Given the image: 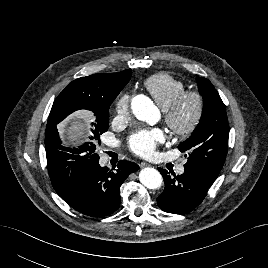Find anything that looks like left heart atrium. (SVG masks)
Wrapping results in <instances>:
<instances>
[{
    "instance_id": "39dd6f15",
    "label": "left heart atrium",
    "mask_w": 268,
    "mask_h": 268,
    "mask_svg": "<svg viewBox=\"0 0 268 268\" xmlns=\"http://www.w3.org/2000/svg\"><path fill=\"white\" fill-rule=\"evenodd\" d=\"M165 141V134L159 128L142 129L134 132L129 138V147L137 155L151 157L158 144Z\"/></svg>"
}]
</instances>
